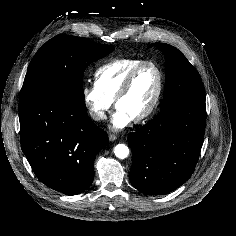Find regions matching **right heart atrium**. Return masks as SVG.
<instances>
[{"mask_svg":"<svg viewBox=\"0 0 236 236\" xmlns=\"http://www.w3.org/2000/svg\"><path fill=\"white\" fill-rule=\"evenodd\" d=\"M82 99L89 115L99 122L106 119L113 105V100L109 99L95 82L83 87Z\"/></svg>","mask_w":236,"mask_h":236,"instance_id":"1","label":"right heart atrium"}]
</instances>
